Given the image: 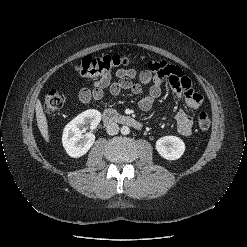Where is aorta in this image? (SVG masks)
I'll list each match as a JSON object with an SVG mask.
<instances>
[{"mask_svg": "<svg viewBox=\"0 0 247 247\" xmlns=\"http://www.w3.org/2000/svg\"><path fill=\"white\" fill-rule=\"evenodd\" d=\"M121 133L123 135H128L130 133V128L128 126H122L121 127Z\"/></svg>", "mask_w": 247, "mask_h": 247, "instance_id": "obj_1", "label": "aorta"}]
</instances>
